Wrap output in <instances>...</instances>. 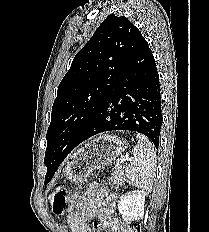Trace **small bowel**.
Instances as JSON below:
<instances>
[{
    "instance_id": "1",
    "label": "small bowel",
    "mask_w": 209,
    "mask_h": 232,
    "mask_svg": "<svg viewBox=\"0 0 209 232\" xmlns=\"http://www.w3.org/2000/svg\"><path fill=\"white\" fill-rule=\"evenodd\" d=\"M115 207L116 199L106 187L91 184L67 216L72 232H99L100 226L109 232H129L130 228L113 217ZM90 220L96 224L89 226Z\"/></svg>"
}]
</instances>
